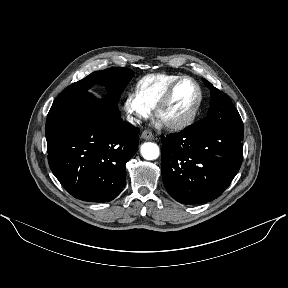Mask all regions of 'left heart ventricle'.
Masks as SVG:
<instances>
[{
  "label": "left heart ventricle",
  "instance_id": "left-heart-ventricle-1",
  "mask_svg": "<svg viewBox=\"0 0 288 288\" xmlns=\"http://www.w3.org/2000/svg\"><path fill=\"white\" fill-rule=\"evenodd\" d=\"M197 96L195 85L189 81H182L174 91L171 101L163 110L161 120L170 123L182 118L192 107Z\"/></svg>",
  "mask_w": 288,
  "mask_h": 288
}]
</instances>
